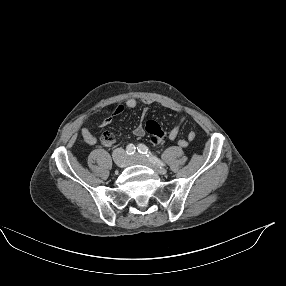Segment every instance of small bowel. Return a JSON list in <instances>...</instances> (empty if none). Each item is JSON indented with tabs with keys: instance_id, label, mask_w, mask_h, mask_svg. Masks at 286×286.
I'll return each mask as SVG.
<instances>
[{
	"instance_id": "obj_1",
	"label": "small bowel",
	"mask_w": 286,
	"mask_h": 286,
	"mask_svg": "<svg viewBox=\"0 0 286 286\" xmlns=\"http://www.w3.org/2000/svg\"><path fill=\"white\" fill-rule=\"evenodd\" d=\"M143 103L145 105H150L152 103L151 99H145L143 100ZM138 106V101L135 98H129L126 100L125 104H121L118 105L114 111L108 116L106 117L102 122H101V126L102 127H106L108 125H110L113 121V119L119 115H121L126 109L129 111H135L136 108ZM177 112H181L179 109H175ZM186 120V115L185 114H181L178 123L169 131L168 133V139L170 141H174L177 139L181 127L183 125V123ZM145 127L142 123L138 124L134 130L133 133L136 137H143L145 135ZM81 135L84 139V141L89 144V145H94L97 142V138L89 131V129L87 128H82L81 129ZM196 138V133L194 131H190L187 134V138L186 139H179L177 141V144L179 147L181 148H186L190 142H192L194 139ZM104 147H110L112 145V143H102Z\"/></svg>"
}]
</instances>
